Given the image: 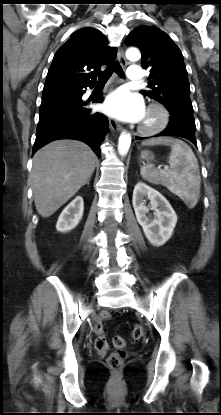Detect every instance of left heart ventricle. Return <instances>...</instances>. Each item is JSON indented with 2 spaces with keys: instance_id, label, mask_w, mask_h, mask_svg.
<instances>
[{
  "instance_id": "b2bd125f",
  "label": "left heart ventricle",
  "mask_w": 221,
  "mask_h": 415,
  "mask_svg": "<svg viewBox=\"0 0 221 415\" xmlns=\"http://www.w3.org/2000/svg\"><path fill=\"white\" fill-rule=\"evenodd\" d=\"M155 119L156 114L154 112H146L142 122L145 124H151L155 121Z\"/></svg>"
}]
</instances>
